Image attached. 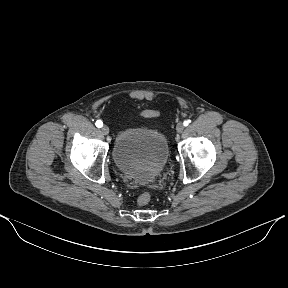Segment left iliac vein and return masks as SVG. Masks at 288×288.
Listing matches in <instances>:
<instances>
[{"label":"left iliac vein","instance_id":"obj_1","mask_svg":"<svg viewBox=\"0 0 288 288\" xmlns=\"http://www.w3.org/2000/svg\"><path fill=\"white\" fill-rule=\"evenodd\" d=\"M176 131L178 133H182L184 131V125L182 123H178L176 126Z\"/></svg>","mask_w":288,"mask_h":288}]
</instances>
